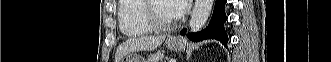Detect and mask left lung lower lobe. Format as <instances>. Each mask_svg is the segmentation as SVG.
Here are the masks:
<instances>
[{"label": "left lung lower lobe", "mask_w": 331, "mask_h": 62, "mask_svg": "<svg viewBox=\"0 0 331 62\" xmlns=\"http://www.w3.org/2000/svg\"><path fill=\"white\" fill-rule=\"evenodd\" d=\"M227 0H216L213 15L208 27L198 33L188 34V38L192 41H202L204 39H216L223 45L227 43V34L224 30V23L227 20L225 14V4ZM186 34V29L181 31V35Z\"/></svg>", "instance_id": "left-lung-lower-lobe-1"}]
</instances>
